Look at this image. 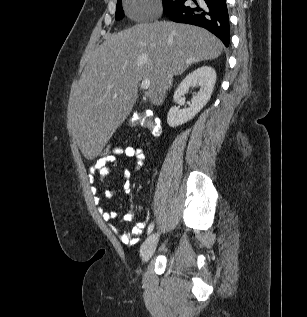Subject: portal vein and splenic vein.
Returning <instances> with one entry per match:
<instances>
[{"mask_svg": "<svg viewBox=\"0 0 307 317\" xmlns=\"http://www.w3.org/2000/svg\"><path fill=\"white\" fill-rule=\"evenodd\" d=\"M149 86H150V80H148V79L142 80V82H141L142 89H148Z\"/></svg>", "mask_w": 307, "mask_h": 317, "instance_id": "obj_1", "label": "portal vein and splenic vein"}]
</instances>
